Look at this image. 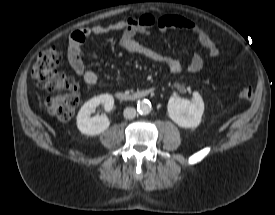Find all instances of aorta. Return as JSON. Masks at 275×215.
Here are the masks:
<instances>
[{
  "label": "aorta",
  "mask_w": 275,
  "mask_h": 215,
  "mask_svg": "<svg viewBox=\"0 0 275 215\" xmlns=\"http://www.w3.org/2000/svg\"><path fill=\"white\" fill-rule=\"evenodd\" d=\"M137 111L141 115H147L151 111V103L148 100L139 101L137 104Z\"/></svg>",
  "instance_id": "aorta-1"
}]
</instances>
